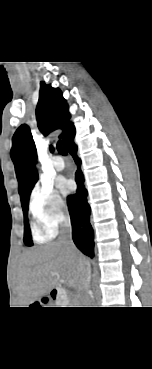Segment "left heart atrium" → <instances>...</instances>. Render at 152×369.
<instances>
[{
	"instance_id": "39dd6f15",
	"label": "left heart atrium",
	"mask_w": 152,
	"mask_h": 369,
	"mask_svg": "<svg viewBox=\"0 0 152 369\" xmlns=\"http://www.w3.org/2000/svg\"><path fill=\"white\" fill-rule=\"evenodd\" d=\"M58 188L64 194H68L72 188V184L69 180L61 178L58 180Z\"/></svg>"
}]
</instances>
